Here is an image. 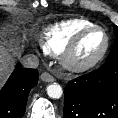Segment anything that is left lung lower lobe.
Returning a JSON list of instances; mask_svg holds the SVG:
<instances>
[{"label": "left lung lower lobe", "instance_id": "left-lung-lower-lobe-1", "mask_svg": "<svg viewBox=\"0 0 118 118\" xmlns=\"http://www.w3.org/2000/svg\"><path fill=\"white\" fill-rule=\"evenodd\" d=\"M64 118H118V61L69 81Z\"/></svg>", "mask_w": 118, "mask_h": 118}]
</instances>
